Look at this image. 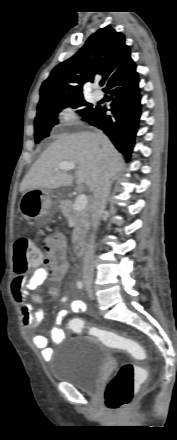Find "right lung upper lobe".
Masks as SVG:
<instances>
[{
    "instance_id": "1",
    "label": "right lung upper lobe",
    "mask_w": 177,
    "mask_h": 440,
    "mask_svg": "<svg viewBox=\"0 0 177 440\" xmlns=\"http://www.w3.org/2000/svg\"><path fill=\"white\" fill-rule=\"evenodd\" d=\"M125 36L110 25L91 35L71 58L57 65L40 89L38 106L83 96V86L102 75L107 86L135 66Z\"/></svg>"
}]
</instances>
